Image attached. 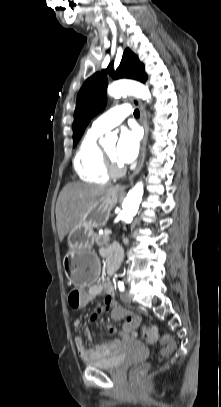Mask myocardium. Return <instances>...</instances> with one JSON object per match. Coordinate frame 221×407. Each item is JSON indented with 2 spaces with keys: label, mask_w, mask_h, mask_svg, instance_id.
<instances>
[{
  "label": "myocardium",
  "mask_w": 221,
  "mask_h": 407,
  "mask_svg": "<svg viewBox=\"0 0 221 407\" xmlns=\"http://www.w3.org/2000/svg\"><path fill=\"white\" fill-rule=\"evenodd\" d=\"M106 171L111 176H118L124 172L122 166L112 160L105 151H102Z\"/></svg>",
  "instance_id": "1"
}]
</instances>
